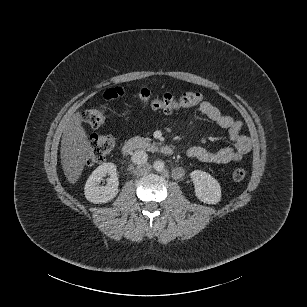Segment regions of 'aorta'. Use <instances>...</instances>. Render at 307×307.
Wrapping results in <instances>:
<instances>
[{
  "instance_id": "1",
  "label": "aorta",
  "mask_w": 307,
  "mask_h": 307,
  "mask_svg": "<svg viewBox=\"0 0 307 307\" xmlns=\"http://www.w3.org/2000/svg\"><path fill=\"white\" fill-rule=\"evenodd\" d=\"M153 167L155 171L161 172L164 170L165 164L162 161H157L154 163Z\"/></svg>"
}]
</instances>
